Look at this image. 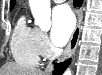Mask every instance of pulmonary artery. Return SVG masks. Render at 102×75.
Returning a JSON list of instances; mask_svg holds the SVG:
<instances>
[{
  "instance_id": "pulmonary-artery-1",
  "label": "pulmonary artery",
  "mask_w": 102,
  "mask_h": 75,
  "mask_svg": "<svg viewBox=\"0 0 102 75\" xmlns=\"http://www.w3.org/2000/svg\"><path fill=\"white\" fill-rule=\"evenodd\" d=\"M57 2H65V0H58Z\"/></svg>"
}]
</instances>
